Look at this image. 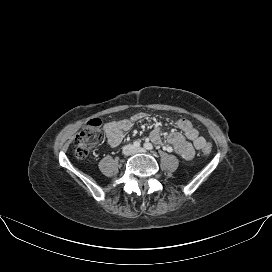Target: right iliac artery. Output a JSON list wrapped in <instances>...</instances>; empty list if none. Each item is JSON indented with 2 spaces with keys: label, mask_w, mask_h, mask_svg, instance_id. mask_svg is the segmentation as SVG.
<instances>
[{
  "label": "right iliac artery",
  "mask_w": 272,
  "mask_h": 272,
  "mask_svg": "<svg viewBox=\"0 0 272 272\" xmlns=\"http://www.w3.org/2000/svg\"><path fill=\"white\" fill-rule=\"evenodd\" d=\"M133 145H134V147H140V142L139 141H135L134 143H133Z\"/></svg>",
  "instance_id": "obj_1"
}]
</instances>
